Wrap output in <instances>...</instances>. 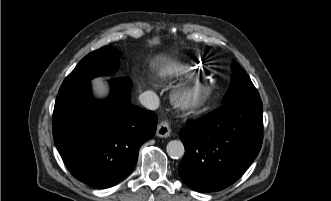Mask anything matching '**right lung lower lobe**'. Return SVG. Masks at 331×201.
I'll return each instance as SVG.
<instances>
[{
  "label": "right lung lower lobe",
  "instance_id": "right-lung-lower-lobe-1",
  "mask_svg": "<svg viewBox=\"0 0 331 201\" xmlns=\"http://www.w3.org/2000/svg\"><path fill=\"white\" fill-rule=\"evenodd\" d=\"M111 94L96 101L90 83L58 95L53 137L66 167L79 181L108 188L136 165L140 146L156 131L157 115L129 102L131 80L110 79Z\"/></svg>",
  "mask_w": 331,
  "mask_h": 201
}]
</instances>
